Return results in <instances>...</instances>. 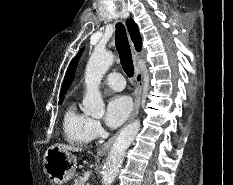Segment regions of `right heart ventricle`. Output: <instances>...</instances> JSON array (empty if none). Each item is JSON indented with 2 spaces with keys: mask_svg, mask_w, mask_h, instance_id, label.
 I'll return each instance as SVG.
<instances>
[{
  "mask_svg": "<svg viewBox=\"0 0 233 185\" xmlns=\"http://www.w3.org/2000/svg\"><path fill=\"white\" fill-rule=\"evenodd\" d=\"M90 117L81 112L72 102L63 117V129L66 140L75 145H85L91 141L88 126Z\"/></svg>",
  "mask_w": 233,
  "mask_h": 185,
  "instance_id": "obj_1",
  "label": "right heart ventricle"
}]
</instances>
